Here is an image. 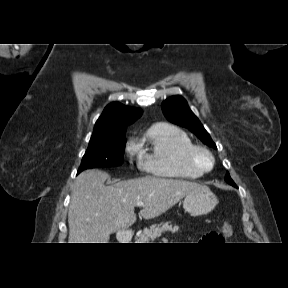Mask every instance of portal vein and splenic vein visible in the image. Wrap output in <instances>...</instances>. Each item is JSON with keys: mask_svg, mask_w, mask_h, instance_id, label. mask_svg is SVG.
<instances>
[{"mask_svg": "<svg viewBox=\"0 0 288 288\" xmlns=\"http://www.w3.org/2000/svg\"><path fill=\"white\" fill-rule=\"evenodd\" d=\"M143 205H144L143 202H137V206H138V207H141V206H143Z\"/></svg>", "mask_w": 288, "mask_h": 288, "instance_id": "portal-vein-and-splenic-vein-1", "label": "portal vein and splenic vein"}]
</instances>
